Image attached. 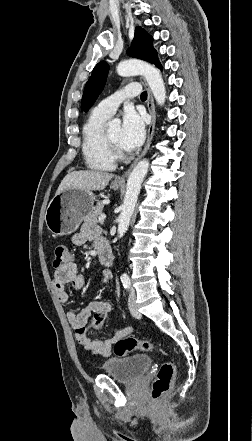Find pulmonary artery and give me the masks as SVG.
<instances>
[{"mask_svg": "<svg viewBox=\"0 0 252 441\" xmlns=\"http://www.w3.org/2000/svg\"><path fill=\"white\" fill-rule=\"evenodd\" d=\"M141 93V86L139 84H129L118 91H116L111 96L102 100L96 107L95 111L100 114L110 117L115 113L117 108L122 102L127 99L138 96Z\"/></svg>", "mask_w": 252, "mask_h": 441, "instance_id": "pulmonary-artery-1", "label": "pulmonary artery"}]
</instances>
